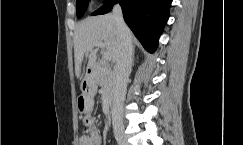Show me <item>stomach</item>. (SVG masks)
I'll use <instances>...</instances> for the list:
<instances>
[{"mask_svg":"<svg viewBox=\"0 0 243 145\" xmlns=\"http://www.w3.org/2000/svg\"><path fill=\"white\" fill-rule=\"evenodd\" d=\"M96 83L94 79H87L86 81L82 82L81 90L82 94L79 97V108L81 112H88V106H91L93 103L92 95L95 91Z\"/></svg>","mask_w":243,"mask_h":145,"instance_id":"0dacf381","label":"stomach"}]
</instances>
